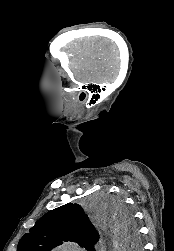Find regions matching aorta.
Returning <instances> with one entry per match:
<instances>
[{"label":"aorta","mask_w":174,"mask_h":251,"mask_svg":"<svg viewBox=\"0 0 174 251\" xmlns=\"http://www.w3.org/2000/svg\"><path fill=\"white\" fill-rule=\"evenodd\" d=\"M111 233H112V236L114 237V239H117L118 234H117V229L115 228V226L111 227ZM120 246H122V245H120ZM120 250H121V248H120Z\"/></svg>","instance_id":"762f6f07"}]
</instances>
